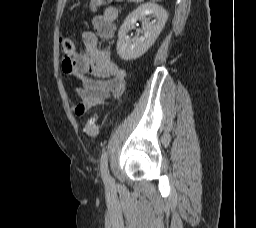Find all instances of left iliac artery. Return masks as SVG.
Here are the masks:
<instances>
[{
	"label": "left iliac artery",
	"mask_w": 256,
	"mask_h": 228,
	"mask_svg": "<svg viewBox=\"0 0 256 228\" xmlns=\"http://www.w3.org/2000/svg\"><path fill=\"white\" fill-rule=\"evenodd\" d=\"M108 153L107 151H104L101 155L100 159V169H101V174L103 177V180L106 184H109L110 182V176H109V171H108Z\"/></svg>",
	"instance_id": "44dca946"
}]
</instances>
